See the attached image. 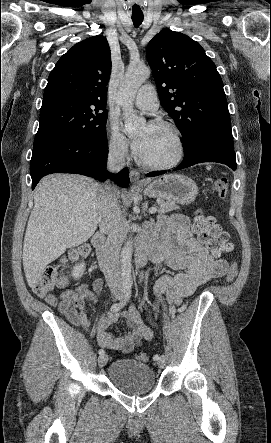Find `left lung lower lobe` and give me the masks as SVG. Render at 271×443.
<instances>
[{
    "label": "left lung lower lobe",
    "instance_id": "1",
    "mask_svg": "<svg viewBox=\"0 0 271 443\" xmlns=\"http://www.w3.org/2000/svg\"><path fill=\"white\" fill-rule=\"evenodd\" d=\"M182 163L174 170H180L202 162H217L236 170V158L232 132L229 130H209L193 139V146L184 150ZM166 171L148 173V177L164 174Z\"/></svg>",
    "mask_w": 271,
    "mask_h": 443
}]
</instances>
